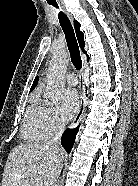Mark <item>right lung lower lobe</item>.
I'll return each instance as SVG.
<instances>
[{"label": "right lung lower lobe", "mask_w": 138, "mask_h": 186, "mask_svg": "<svg viewBox=\"0 0 138 186\" xmlns=\"http://www.w3.org/2000/svg\"><path fill=\"white\" fill-rule=\"evenodd\" d=\"M78 129L79 126L70 130H66L62 136L61 144L68 153L73 147Z\"/></svg>", "instance_id": "1"}]
</instances>
